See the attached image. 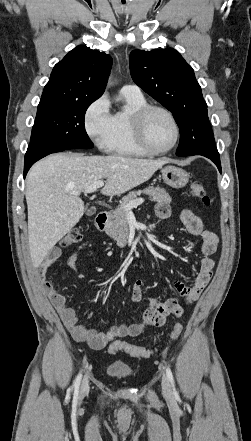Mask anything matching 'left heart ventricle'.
<instances>
[{
  "label": "left heart ventricle",
  "instance_id": "1",
  "mask_svg": "<svg viewBox=\"0 0 251 441\" xmlns=\"http://www.w3.org/2000/svg\"><path fill=\"white\" fill-rule=\"evenodd\" d=\"M146 135L150 145L155 149H166L174 140L175 131L169 117L160 112L154 111L146 122Z\"/></svg>",
  "mask_w": 251,
  "mask_h": 441
}]
</instances>
